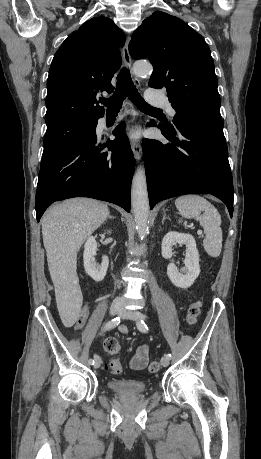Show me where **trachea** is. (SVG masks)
<instances>
[{
  "label": "trachea",
  "mask_w": 261,
  "mask_h": 459,
  "mask_svg": "<svg viewBox=\"0 0 261 459\" xmlns=\"http://www.w3.org/2000/svg\"><path fill=\"white\" fill-rule=\"evenodd\" d=\"M128 97L139 109L146 111H159V109L150 106L142 98L136 86L134 85L129 71L126 68L121 69L117 76V87L114 94L102 101L108 111L119 110L125 98Z\"/></svg>",
  "instance_id": "obj_1"
}]
</instances>
